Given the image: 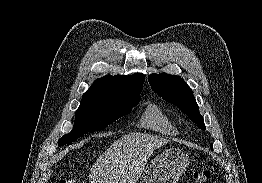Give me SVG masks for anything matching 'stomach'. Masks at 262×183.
Segmentation results:
<instances>
[{
	"label": "stomach",
	"instance_id": "1",
	"mask_svg": "<svg viewBox=\"0 0 262 183\" xmlns=\"http://www.w3.org/2000/svg\"><path fill=\"white\" fill-rule=\"evenodd\" d=\"M189 164L188 155L181 150L166 149L147 165L140 183H177Z\"/></svg>",
	"mask_w": 262,
	"mask_h": 183
}]
</instances>
